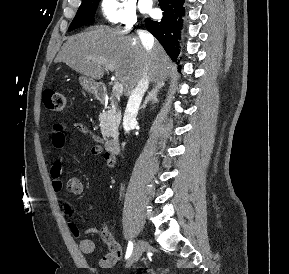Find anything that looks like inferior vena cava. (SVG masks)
I'll list each match as a JSON object with an SVG mask.
<instances>
[{
  "mask_svg": "<svg viewBox=\"0 0 289 274\" xmlns=\"http://www.w3.org/2000/svg\"><path fill=\"white\" fill-rule=\"evenodd\" d=\"M137 33L139 35L143 47L148 52H150L152 45L154 43V38L152 37V35L142 30L137 31ZM148 86H149V77L147 76L146 73H144L143 77L140 79L139 83L132 91L128 99V103L123 118V127L126 132H128L130 130L131 125L136 122V117L142 101V97L146 92V90L148 89Z\"/></svg>",
  "mask_w": 289,
  "mask_h": 274,
  "instance_id": "1",
  "label": "inferior vena cava"
}]
</instances>
